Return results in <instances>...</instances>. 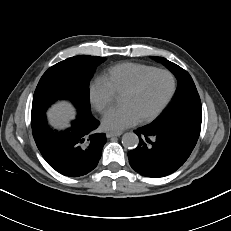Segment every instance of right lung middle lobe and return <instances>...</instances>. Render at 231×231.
Returning a JSON list of instances; mask_svg holds the SVG:
<instances>
[{"label": "right lung middle lobe", "mask_w": 231, "mask_h": 231, "mask_svg": "<svg viewBox=\"0 0 231 231\" xmlns=\"http://www.w3.org/2000/svg\"><path fill=\"white\" fill-rule=\"evenodd\" d=\"M106 58L80 55L50 67L41 77L32 103V114L45 111L60 99L71 101L78 112L90 113L88 82L96 66Z\"/></svg>", "instance_id": "obj_1"}]
</instances>
